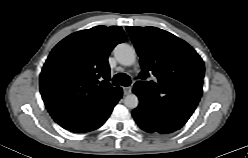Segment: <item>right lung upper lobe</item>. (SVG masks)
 <instances>
[{"label": "right lung upper lobe", "mask_w": 248, "mask_h": 158, "mask_svg": "<svg viewBox=\"0 0 248 158\" xmlns=\"http://www.w3.org/2000/svg\"><path fill=\"white\" fill-rule=\"evenodd\" d=\"M126 40L120 26H96L67 36L53 48L40 74V92L55 122L91 114L119 89L108 82V55ZM99 78L104 80L99 83Z\"/></svg>", "instance_id": "1"}]
</instances>
